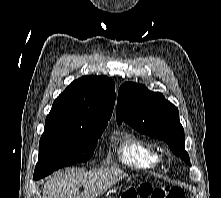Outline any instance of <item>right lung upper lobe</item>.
Returning a JSON list of instances; mask_svg holds the SVG:
<instances>
[{"label":"right lung upper lobe","mask_w":221,"mask_h":198,"mask_svg":"<svg viewBox=\"0 0 221 198\" xmlns=\"http://www.w3.org/2000/svg\"><path fill=\"white\" fill-rule=\"evenodd\" d=\"M115 104V84L105 76H83L54 101L45 132L84 133L106 127Z\"/></svg>","instance_id":"right-lung-upper-lobe-1"}]
</instances>
